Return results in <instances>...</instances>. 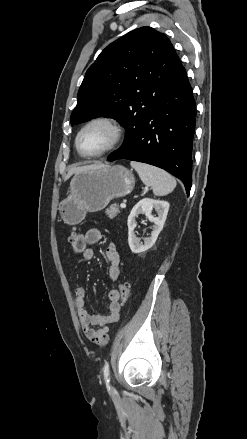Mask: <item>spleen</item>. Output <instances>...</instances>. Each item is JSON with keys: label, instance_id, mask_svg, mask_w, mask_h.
Masks as SVG:
<instances>
[{"label": "spleen", "instance_id": "3e777b00", "mask_svg": "<svg viewBox=\"0 0 247 439\" xmlns=\"http://www.w3.org/2000/svg\"><path fill=\"white\" fill-rule=\"evenodd\" d=\"M131 167L134 168L142 182L146 186H151L154 195L164 196L171 193L176 187V180L169 173L158 167L131 161Z\"/></svg>", "mask_w": 247, "mask_h": 439}]
</instances>
